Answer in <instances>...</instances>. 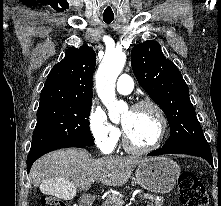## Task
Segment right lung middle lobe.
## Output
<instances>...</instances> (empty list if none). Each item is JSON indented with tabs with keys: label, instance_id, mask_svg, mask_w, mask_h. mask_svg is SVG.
<instances>
[{
	"label": "right lung middle lobe",
	"instance_id": "dd1d6c3e",
	"mask_svg": "<svg viewBox=\"0 0 221 206\" xmlns=\"http://www.w3.org/2000/svg\"><path fill=\"white\" fill-rule=\"evenodd\" d=\"M92 103L38 108L30 152L79 143L94 145L88 118Z\"/></svg>",
	"mask_w": 221,
	"mask_h": 206
}]
</instances>
